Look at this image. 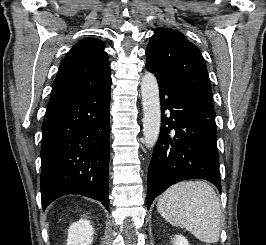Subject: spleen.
<instances>
[{"instance_id": "obj_1", "label": "spleen", "mask_w": 266, "mask_h": 245, "mask_svg": "<svg viewBox=\"0 0 266 245\" xmlns=\"http://www.w3.org/2000/svg\"><path fill=\"white\" fill-rule=\"evenodd\" d=\"M157 211L167 223L187 229L201 243H218L221 209L208 183L187 181L173 185L158 199Z\"/></svg>"}]
</instances>
